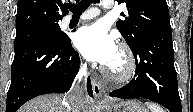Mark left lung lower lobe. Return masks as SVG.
<instances>
[{"mask_svg":"<svg viewBox=\"0 0 193 112\" xmlns=\"http://www.w3.org/2000/svg\"><path fill=\"white\" fill-rule=\"evenodd\" d=\"M136 61L135 77L111 97L145 98L171 112H181L178 82L174 67L171 30H161L145 37L131 49Z\"/></svg>","mask_w":193,"mask_h":112,"instance_id":"0a47b994","label":"left lung lower lobe"}]
</instances>
